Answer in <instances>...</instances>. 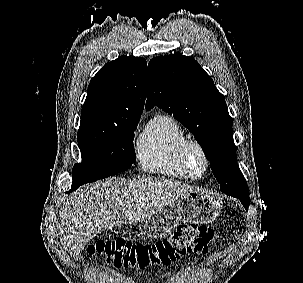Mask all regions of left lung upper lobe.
<instances>
[{"mask_svg": "<svg viewBox=\"0 0 303 283\" xmlns=\"http://www.w3.org/2000/svg\"><path fill=\"white\" fill-rule=\"evenodd\" d=\"M154 105L183 124L202 147L221 191L249 196L233 141V119L212 78L191 57L171 54L148 64L146 109Z\"/></svg>", "mask_w": 303, "mask_h": 283, "instance_id": "left-lung-upper-lobe-1", "label": "left lung upper lobe"}]
</instances>
